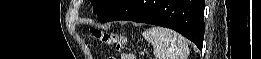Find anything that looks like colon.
Segmentation results:
<instances>
[{
    "mask_svg": "<svg viewBox=\"0 0 261 59\" xmlns=\"http://www.w3.org/2000/svg\"><path fill=\"white\" fill-rule=\"evenodd\" d=\"M92 35L96 39L108 45H114L118 50L122 49L125 45V39L122 36L114 33H107V32H102L98 29H93ZM122 58H129V57H122Z\"/></svg>",
    "mask_w": 261,
    "mask_h": 59,
    "instance_id": "colon-1",
    "label": "colon"
}]
</instances>
